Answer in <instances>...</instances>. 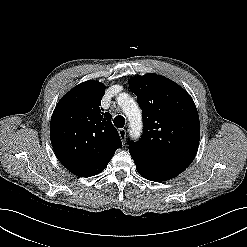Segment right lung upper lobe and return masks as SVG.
I'll use <instances>...</instances> for the list:
<instances>
[{
	"label": "right lung upper lobe",
	"mask_w": 247,
	"mask_h": 247,
	"mask_svg": "<svg viewBox=\"0 0 247 247\" xmlns=\"http://www.w3.org/2000/svg\"><path fill=\"white\" fill-rule=\"evenodd\" d=\"M105 86L86 81L67 92L57 104L50 138L59 161L73 174L103 165L122 146L111 114L100 108Z\"/></svg>",
	"instance_id": "obj_1"
}]
</instances>
